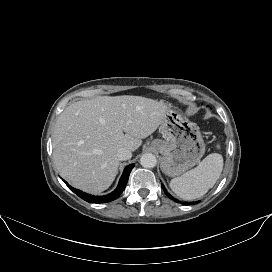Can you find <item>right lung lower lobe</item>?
Listing matches in <instances>:
<instances>
[{
  "label": "right lung lower lobe",
  "mask_w": 272,
  "mask_h": 272,
  "mask_svg": "<svg viewBox=\"0 0 272 272\" xmlns=\"http://www.w3.org/2000/svg\"><path fill=\"white\" fill-rule=\"evenodd\" d=\"M133 168H134V164L128 165L123 171V174L120 178L117 188L113 192H111L110 194L105 195V196H92L90 194L84 193L78 189H75V188L69 186L67 183L66 184L75 194H77L80 198H82L83 200H85L87 202L106 203V202L113 201L120 196V194L123 192V190L127 184L130 172Z\"/></svg>",
  "instance_id": "98d812e1"
}]
</instances>
